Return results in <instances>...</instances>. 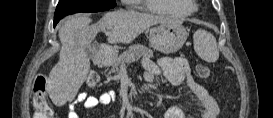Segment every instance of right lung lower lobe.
<instances>
[{"mask_svg":"<svg viewBox=\"0 0 273 118\" xmlns=\"http://www.w3.org/2000/svg\"><path fill=\"white\" fill-rule=\"evenodd\" d=\"M66 15H70V14H58V13H55L54 15V27L56 26V24L60 21V19H62L64 16Z\"/></svg>","mask_w":273,"mask_h":118,"instance_id":"98d812e1","label":"right lung lower lobe"}]
</instances>
